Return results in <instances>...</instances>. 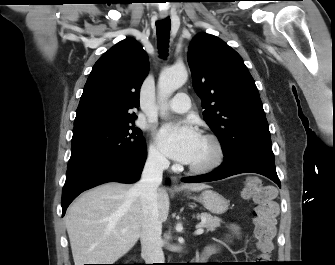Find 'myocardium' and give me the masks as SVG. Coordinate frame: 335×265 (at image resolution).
<instances>
[{
	"instance_id": "f54148a6",
	"label": "myocardium",
	"mask_w": 335,
	"mask_h": 265,
	"mask_svg": "<svg viewBox=\"0 0 335 265\" xmlns=\"http://www.w3.org/2000/svg\"><path fill=\"white\" fill-rule=\"evenodd\" d=\"M205 140L210 142L214 148V156L211 161L204 165L196 166L189 165L188 170L197 175H204L216 170L224 161L225 158V148L222 141L214 134H204L202 136Z\"/></svg>"
}]
</instances>
